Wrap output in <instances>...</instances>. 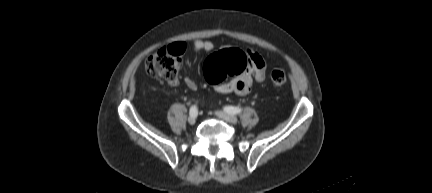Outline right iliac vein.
<instances>
[{
	"label": "right iliac vein",
	"instance_id": "right-iliac-vein-1",
	"mask_svg": "<svg viewBox=\"0 0 432 193\" xmlns=\"http://www.w3.org/2000/svg\"><path fill=\"white\" fill-rule=\"evenodd\" d=\"M196 121H197V116H189L188 117L189 124L193 125L196 123Z\"/></svg>",
	"mask_w": 432,
	"mask_h": 193
}]
</instances>
